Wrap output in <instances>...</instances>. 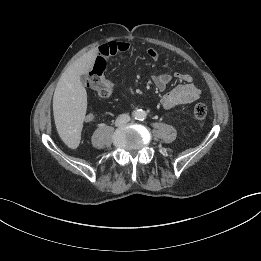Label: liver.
I'll return each mask as SVG.
<instances>
[{"instance_id":"obj_1","label":"liver","mask_w":261,"mask_h":261,"mask_svg":"<svg viewBox=\"0 0 261 261\" xmlns=\"http://www.w3.org/2000/svg\"><path fill=\"white\" fill-rule=\"evenodd\" d=\"M97 50H90L73 62L61 75L53 96L57 131L66 139L80 131L87 109V93L80 76L92 70Z\"/></svg>"}]
</instances>
